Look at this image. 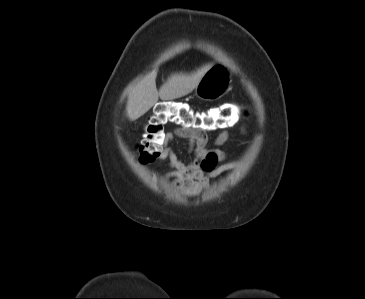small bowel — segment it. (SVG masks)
<instances>
[{
  "instance_id": "c3829d8e",
  "label": "small bowel",
  "mask_w": 365,
  "mask_h": 299,
  "mask_svg": "<svg viewBox=\"0 0 365 299\" xmlns=\"http://www.w3.org/2000/svg\"><path fill=\"white\" fill-rule=\"evenodd\" d=\"M175 139L186 141L189 144L188 152L193 155V160L184 162L176 151L168 147ZM229 139V133L222 130L209 146L207 134L204 130H188L174 128L165 136V143L159 160L167 159L171 171L165 175V180L172 179L174 188L193 195L202 193L208 186L211 177L226 174L234 164L226 167H217L227 153L218 147L224 145Z\"/></svg>"
}]
</instances>
